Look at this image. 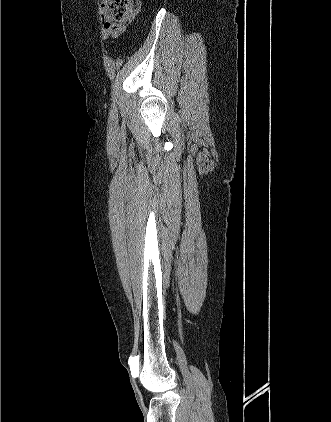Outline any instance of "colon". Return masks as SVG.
Here are the masks:
<instances>
[{"instance_id":"1","label":"colon","mask_w":331,"mask_h":422,"mask_svg":"<svg viewBox=\"0 0 331 422\" xmlns=\"http://www.w3.org/2000/svg\"><path fill=\"white\" fill-rule=\"evenodd\" d=\"M111 19L119 24L127 25L140 9V0H107Z\"/></svg>"}]
</instances>
